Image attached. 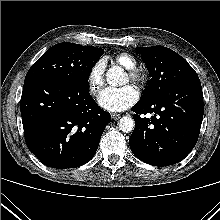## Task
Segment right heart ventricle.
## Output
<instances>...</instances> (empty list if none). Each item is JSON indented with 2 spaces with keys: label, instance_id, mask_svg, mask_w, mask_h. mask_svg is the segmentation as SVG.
<instances>
[{
  "label": "right heart ventricle",
  "instance_id": "1",
  "mask_svg": "<svg viewBox=\"0 0 220 220\" xmlns=\"http://www.w3.org/2000/svg\"><path fill=\"white\" fill-rule=\"evenodd\" d=\"M114 60L117 64L121 65L127 70L135 68L137 65L135 57L128 53H119L114 57Z\"/></svg>",
  "mask_w": 220,
  "mask_h": 220
}]
</instances>
